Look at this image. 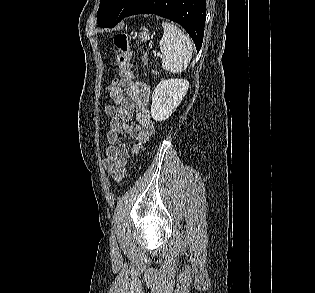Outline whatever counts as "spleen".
Wrapping results in <instances>:
<instances>
[{"label":"spleen","instance_id":"spleen-1","mask_svg":"<svg viewBox=\"0 0 315 293\" xmlns=\"http://www.w3.org/2000/svg\"><path fill=\"white\" fill-rule=\"evenodd\" d=\"M164 30L159 47L162 52V68L171 73L184 71L192 58L193 44L191 39L177 26L162 22Z\"/></svg>","mask_w":315,"mask_h":293}]
</instances>
